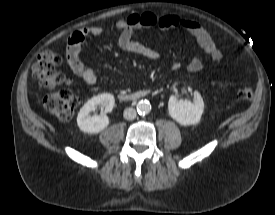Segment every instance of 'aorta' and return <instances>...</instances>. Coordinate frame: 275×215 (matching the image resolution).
Listing matches in <instances>:
<instances>
[{
  "instance_id": "obj_1",
  "label": "aorta",
  "mask_w": 275,
  "mask_h": 215,
  "mask_svg": "<svg viewBox=\"0 0 275 215\" xmlns=\"http://www.w3.org/2000/svg\"><path fill=\"white\" fill-rule=\"evenodd\" d=\"M137 111L141 115L148 114L151 111V104L147 100L139 101L137 104Z\"/></svg>"
}]
</instances>
